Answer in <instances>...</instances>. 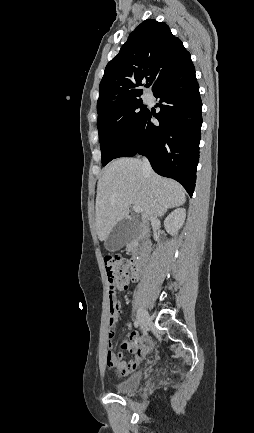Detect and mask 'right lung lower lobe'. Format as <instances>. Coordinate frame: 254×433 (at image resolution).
Returning a JSON list of instances; mask_svg holds the SVG:
<instances>
[{
    "instance_id": "right-lung-lower-lobe-1",
    "label": "right lung lower lobe",
    "mask_w": 254,
    "mask_h": 433,
    "mask_svg": "<svg viewBox=\"0 0 254 433\" xmlns=\"http://www.w3.org/2000/svg\"><path fill=\"white\" fill-rule=\"evenodd\" d=\"M160 112L149 110L114 158L146 156L153 170L177 180L190 197L199 160L202 102L191 57L156 90ZM157 119L159 125H154Z\"/></svg>"
}]
</instances>
